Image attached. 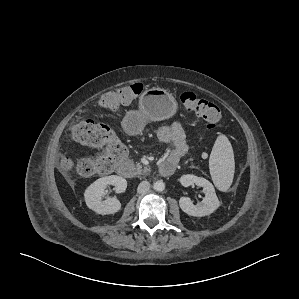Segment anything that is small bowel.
Listing matches in <instances>:
<instances>
[{"mask_svg": "<svg viewBox=\"0 0 299 299\" xmlns=\"http://www.w3.org/2000/svg\"><path fill=\"white\" fill-rule=\"evenodd\" d=\"M157 137L162 143L172 146L166 157L168 161L177 164L188 151L185 133L180 122L175 121L160 126L157 130Z\"/></svg>", "mask_w": 299, "mask_h": 299, "instance_id": "1", "label": "small bowel"}]
</instances>
